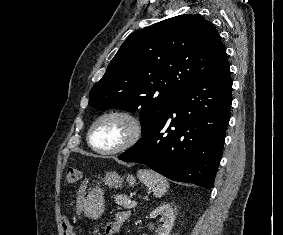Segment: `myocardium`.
<instances>
[{
    "instance_id": "1",
    "label": "myocardium",
    "mask_w": 283,
    "mask_h": 235,
    "mask_svg": "<svg viewBox=\"0 0 283 235\" xmlns=\"http://www.w3.org/2000/svg\"><path fill=\"white\" fill-rule=\"evenodd\" d=\"M109 118H121L127 122L129 125V133L127 138L118 146L111 149H102L95 146L92 142L93 134L97 126L104 120ZM144 127L143 123L138 116L134 113L123 110V109H114L102 113L98 116L95 121L91 124L88 133L87 141L91 148L102 155H115L122 152H125L135 146L143 136Z\"/></svg>"
}]
</instances>
